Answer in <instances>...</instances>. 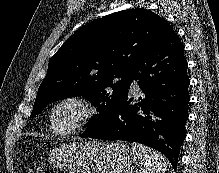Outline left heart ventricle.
Listing matches in <instances>:
<instances>
[{
    "label": "left heart ventricle",
    "instance_id": "b2bd125f",
    "mask_svg": "<svg viewBox=\"0 0 219 173\" xmlns=\"http://www.w3.org/2000/svg\"><path fill=\"white\" fill-rule=\"evenodd\" d=\"M78 110L73 105H64L60 107L55 114V122L58 130L68 129L74 122Z\"/></svg>",
    "mask_w": 219,
    "mask_h": 173
}]
</instances>
